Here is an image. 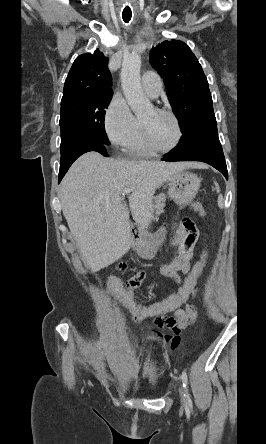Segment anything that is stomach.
<instances>
[{
	"instance_id": "obj_1",
	"label": "stomach",
	"mask_w": 266,
	"mask_h": 444,
	"mask_svg": "<svg viewBox=\"0 0 266 444\" xmlns=\"http://www.w3.org/2000/svg\"><path fill=\"white\" fill-rule=\"evenodd\" d=\"M199 188L200 179L197 175L188 171H181L169 179L168 193L177 205L183 207L195 198ZM165 237L166 232L163 229L153 236H143L142 243L145 249L143 256L148 259L152 258Z\"/></svg>"
}]
</instances>
